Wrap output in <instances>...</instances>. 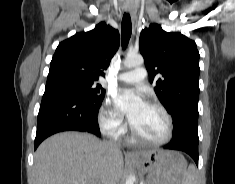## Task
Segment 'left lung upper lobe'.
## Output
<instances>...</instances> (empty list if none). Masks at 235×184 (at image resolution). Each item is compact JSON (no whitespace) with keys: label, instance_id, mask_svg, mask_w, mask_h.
<instances>
[{"label":"left lung upper lobe","instance_id":"1","mask_svg":"<svg viewBox=\"0 0 235 184\" xmlns=\"http://www.w3.org/2000/svg\"><path fill=\"white\" fill-rule=\"evenodd\" d=\"M140 53L162 105L173 118V135L189 131L198 135L199 52L196 43L179 32H165L153 23L142 30Z\"/></svg>","mask_w":235,"mask_h":184}]
</instances>
